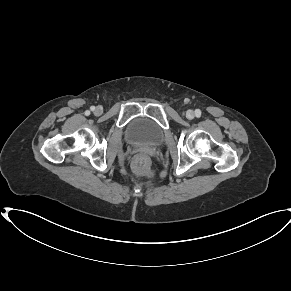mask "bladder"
<instances>
[{
    "mask_svg": "<svg viewBox=\"0 0 291 291\" xmlns=\"http://www.w3.org/2000/svg\"><path fill=\"white\" fill-rule=\"evenodd\" d=\"M163 137V129L147 118H137L133 120L126 131V138L129 142L146 146H156L160 144Z\"/></svg>",
    "mask_w": 291,
    "mask_h": 291,
    "instance_id": "obj_1",
    "label": "bladder"
}]
</instances>
